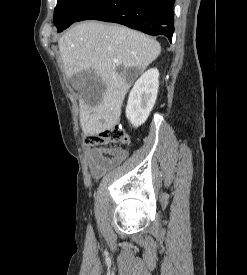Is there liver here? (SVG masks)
<instances>
[{
    "label": "liver",
    "mask_w": 247,
    "mask_h": 275,
    "mask_svg": "<svg viewBox=\"0 0 247 275\" xmlns=\"http://www.w3.org/2000/svg\"><path fill=\"white\" fill-rule=\"evenodd\" d=\"M58 46L68 78L85 71L95 74L105 86L103 92L79 101L82 131L91 136L119 122L131 85L120 69L144 70L161 51L160 44L143 33L98 21L74 26L59 39Z\"/></svg>",
    "instance_id": "obj_1"
}]
</instances>
